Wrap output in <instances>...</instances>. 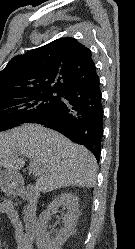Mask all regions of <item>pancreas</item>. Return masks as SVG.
I'll return each instance as SVG.
<instances>
[{
  "mask_svg": "<svg viewBox=\"0 0 135 249\" xmlns=\"http://www.w3.org/2000/svg\"><path fill=\"white\" fill-rule=\"evenodd\" d=\"M26 212H27V210L25 209V210H24V214H26ZM25 217H26V216H25Z\"/></svg>",
  "mask_w": 135,
  "mask_h": 249,
  "instance_id": "1",
  "label": "pancreas"
}]
</instances>
